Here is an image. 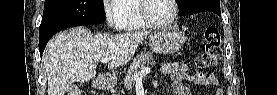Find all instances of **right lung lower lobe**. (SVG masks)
Segmentation results:
<instances>
[{"mask_svg": "<svg viewBox=\"0 0 277 95\" xmlns=\"http://www.w3.org/2000/svg\"><path fill=\"white\" fill-rule=\"evenodd\" d=\"M67 27H54L50 28L44 31L39 32V47H40V55L42 56V53L47 45V42L49 39L58 31L65 29Z\"/></svg>", "mask_w": 277, "mask_h": 95, "instance_id": "1", "label": "right lung lower lobe"}]
</instances>
